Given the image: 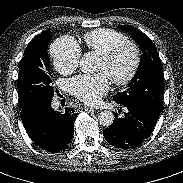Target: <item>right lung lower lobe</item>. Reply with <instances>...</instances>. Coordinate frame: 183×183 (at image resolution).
Instances as JSON below:
<instances>
[{
	"instance_id": "obj_1",
	"label": "right lung lower lobe",
	"mask_w": 183,
	"mask_h": 183,
	"mask_svg": "<svg viewBox=\"0 0 183 183\" xmlns=\"http://www.w3.org/2000/svg\"><path fill=\"white\" fill-rule=\"evenodd\" d=\"M20 115L27 134L36 146L52 153L68 148L77 117L72 109L56 112L51 107V98H37L21 107Z\"/></svg>"
}]
</instances>
